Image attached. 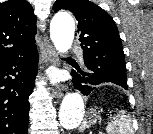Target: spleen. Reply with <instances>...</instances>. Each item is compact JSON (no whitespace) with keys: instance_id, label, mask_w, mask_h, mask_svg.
Returning a JSON list of instances; mask_svg holds the SVG:
<instances>
[{"instance_id":"spleen-1","label":"spleen","mask_w":153,"mask_h":134,"mask_svg":"<svg viewBox=\"0 0 153 134\" xmlns=\"http://www.w3.org/2000/svg\"><path fill=\"white\" fill-rule=\"evenodd\" d=\"M85 129V124L80 127V131ZM107 134H134L132 120L126 110H120L106 127Z\"/></svg>"}]
</instances>
